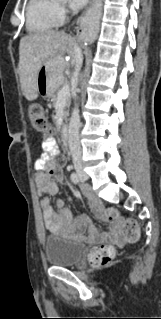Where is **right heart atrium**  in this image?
I'll return each mask as SVG.
<instances>
[{
	"mask_svg": "<svg viewBox=\"0 0 161 319\" xmlns=\"http://www.w3.org/2000/svg\"><path fill=\"white\" fill-rule=\"evenodd\" d=\"M59 14H60V18H61V21L63 20V18L66 16L67 14V10L65 7L63 6H59Z\"/></svg>",
	"mask_w": 161,
	"mask_h": 319,
	"instance_id": "obj_1",
	"label": "right heart atrium"
}]
</instances>
